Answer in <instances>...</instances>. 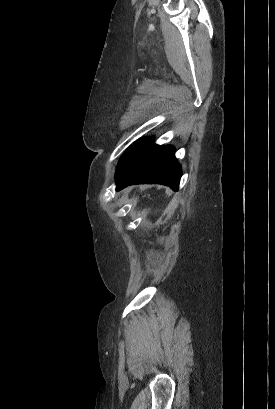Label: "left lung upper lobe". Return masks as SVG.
<instances>
[{"label": "left lung upper lobe", "instance_id": "obj_1", "mask_svg": "<svg viewBox=\"0 0 275 409\" xmlns=\"http://www.w3.org/2000/svg\"><path fill=\"white\" fill-rule=\"evenodd\" d=\"M135 143H136V142H134V143L125 151V153H124V154L122 155V157L120 158L119 163H118V165H117L116 178H117L118 175L122 172V170H123V168H124V166H125L126 160H127V158H128L129 152H130L131 148L135 145Z\"/></svg>", "mask_w": 275, "mask_h": 409}]
</instances>
